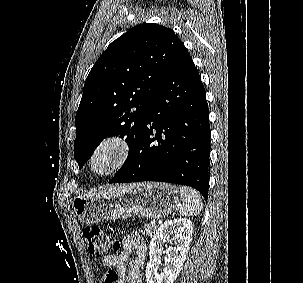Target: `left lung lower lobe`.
<instances>
[{"mask_svg":"<svg viewBox=\"0 0 303 283\" xmlns=\"http://www.w3.org/2000/svg\"><path fill=\"white\" fill-rule=\"evenodd\" d=\"M209 154L206 92L184 48L150 101L135 149L109 183L182 184L207 200Z\"/></svg>","mask_w":303,"mask_h":283,"instance_id":"left-lung-lower-lobe-1","label":"left lung lower lobe"}]
</instances>
